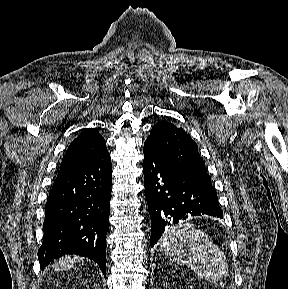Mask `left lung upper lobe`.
Returning <instances> with one entry per match:
<instances>
[{
  "label": "left lung upper lobe",
  "instance_id": "5c2ea615",
  "mask_svg": "<svg viewBox=\"0 0 288 289\" xmlns=\"http://www.w3.org/2000/svg\"><path fill=\"white\" fill-rule=\"evenodd\" d=\"M146 142L170 164L211 183L205 163L199 155L197 144L182 128L169 122L160 121L152 127Z\"/></svg>",
  "mask_w": 288,
  "mask_h": 289
}]
</instances>
